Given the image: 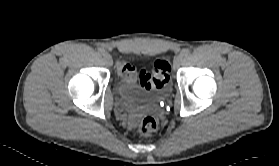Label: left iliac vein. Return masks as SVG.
<instances>
[{
	"mask_svg": "<svg viewBox=\"0 0 279 166\" xmlns=\"http://www.w3.org/2000/svg\"><path fill=\"white\" fill-rule=\"evenodd\" d=\"M182 60H183L182 55H178L177 58H176V60H175V64H174L175 68L180 67V65H181V63H182Z\"/></svg>",
	"mask_w": 279,
	"mask_h": 166,
	"instance_id": "4c4485c4",
	"label": "left iliac vein"
}]
</instances>
